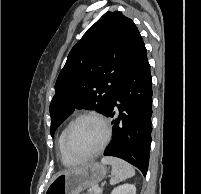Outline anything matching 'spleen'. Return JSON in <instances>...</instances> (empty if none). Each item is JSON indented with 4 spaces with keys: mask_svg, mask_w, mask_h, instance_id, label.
I'll return each instance as SVG.
<instances>
[{
    "mask_svg": "<svg viewBox=\"0 0 201 194\" xmlns=\"http://www.w3.org/2000/svg\"><path fill=\"white\" fill-rule=\"evenodd\" d=\"M102 164H107L112 166V176L110 179L111 185H116L130 177L135 175L134 168L127 162L115 158V157H103L101 159Z\"/></svg>",
    "mask_w": 201,
    "mask_h": 194,
    "instance_id": "3e777b00",
    "label": "spleen"
}]
</instances>
